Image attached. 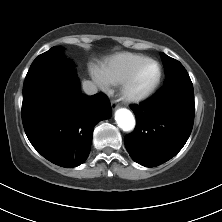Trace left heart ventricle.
<instances>
[{"label": "left heart ventricle", "mask_w": 222, "mask_h": 222, "mask_svg": "<svg viewBox=\"0 0 222 222\" xmlns=\"http://www.w3.org/2000/svg\"><path fill=\"white\" fill-rule=\"evenodd\" d=\"M157 76V68L154 64L149 63L140 71L136 78L131 92L134 94L143 93L153 83Z\"/></svg>", "instance_id": "1"}]
</instances>
